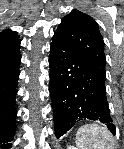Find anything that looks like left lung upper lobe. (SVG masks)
<instances>
[{
    "instance_id": "1",
    "label": "left lung upper lobe",
    "mask_w": 124,
    "mask_h": 149,
    "mask_svg": "<svg viewBox=\"0 0 124 149\" xmlns=\"http://www.w3.org/2000/svg\"><path fill=\"white\" fill-rule=\"evenodd\" d=\"M55 32L98 71L105 74L104 41L93 18L74 9L62 19Z\"/></svg>"
}]
</instances>
